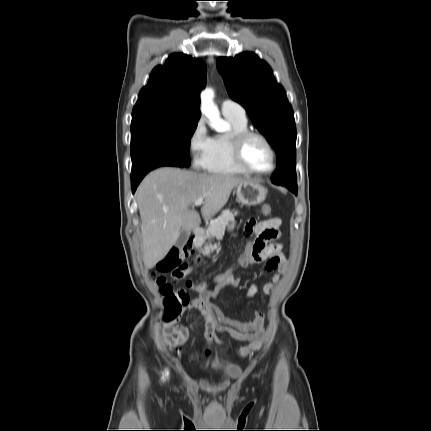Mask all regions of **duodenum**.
Returning <instances> with one entry per match:
<instances>
[{
  "instance_id": "obj_1",
  "label": "duodenum",
  "mask_w": 431,
  "mask_h": 431,
  "mask_svg": "<svg viewBox=\"0 0 431 431\" xmlns=\"http://www.w3.org/2000/svg\"><path fill=\"white\" fill-rule=\"evenodd\" d=\"M204 236V230L201 227H195L192 231L191 242L197 243L202 240Z\"/></svg>"
}]
</instances>
